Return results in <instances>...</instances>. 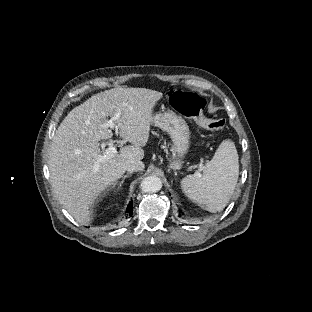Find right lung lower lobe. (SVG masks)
I'll use <instances>...</instances> for the list:
<instances>
[{"mask_svg": "<svg viewBox=\"0 0 312 312\" xmlns=\"http://www.w3.org/2000/svg\"><path fill=\"white\" fill-rule=\"evenodd\" d=\"M126 213L128 215H132V213H133V201H131L130 204L128 205Z\"/></svg>", "mask_w": 312, "mask_h": 312, "instance_id": "obj_1", "label": "right lung lower lobe"}]
</instances>
